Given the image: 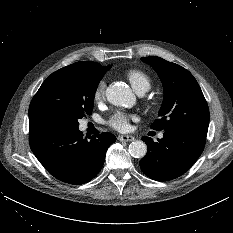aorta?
Masks as SVG:
<instances>
[{
	"instance_id": "1",
	"label": "aorta",
	"mask_w": 233,
	"mask_h": 233,
	"mask_svg": "<svg viewBox=\"0 0 233 233\" xmlns=\"http://www.w3.org/2000/svg\"><path fill=\"white\" fill-rule=\"evenodd\" d=\"M107 100L115 106H132L135 96L131 89L123 84L114 83L106 89ZM129 153L132 157L143 158L147 153V146L143 141L136 140L130 143Z\"/></svg>"
}]
</instances>
